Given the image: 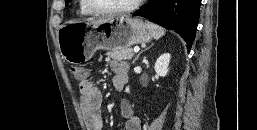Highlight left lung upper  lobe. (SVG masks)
Listing matches in <instances>:
<instances>
[{"label":"left lung upper lobe","instance_id":"left-lung-upper-lobe-1","mask_svg":"<svg viewBox=\"0 0 257 130\" xmlns=\"http://www.w3.org/2000/svg\"><path fill=\"white\" fill-rule=\"evenodd\" d=\"M70 2V0H65V4L67 5Z\"/></svg>","mask_w":257,"mask_h":130}]
</instances>
